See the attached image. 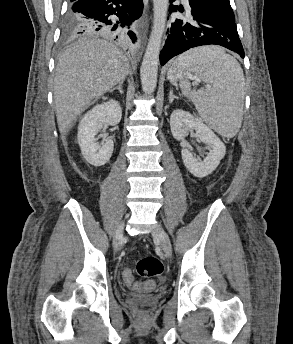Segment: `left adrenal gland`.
I'll return each mask as SVG.
<instances>
[{
    "instance_id": "obj_1",
    "label": "left adrenal gland",
    "mask_w": 293,
    "mask_h": 344,
    "mask_svg": "<svg viewBox=\"0 0 293 344\" xmlns=\"http://www.w3.org/2000/svg\"><path fill=\"white\" fill-rule=\"evenodd\" d=\"M174 99L178 100V97L173 95V91L170 90V93H169V103L171 104L174 101Z\"/></svg>"
}]
</instances>
